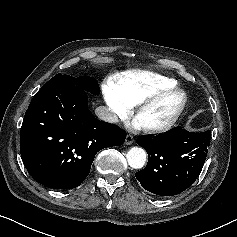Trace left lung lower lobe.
Returning a JSON list of instances; mask_svg holds the SVG:
<instances>
[{
	"label": "left lung lower lobe",
	"mask_w": 237,
	"mask_h": 237,
	"mask_svg": "<svg viewBox=\"0 0 237 237\" xmlns=\"http://www.w3.org/2000/svg\"><path fill=\"white\" fill-rule=\"evenodd\" d=\"M137 144L148 163L136 178L144 189L160 196L186 190L200 174L210 145V131L192 133L177 126L156 136H140Z\"/></svg>",
	"instance_id": "0a47b994"
}]
</instances>
